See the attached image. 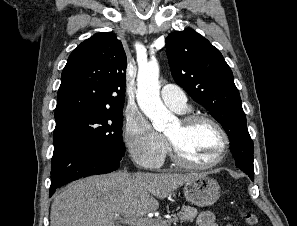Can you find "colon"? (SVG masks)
I'll return each instance as SVG.
<instances>
[{
	"instance_id": "obj_1",
	"label": "colon",
	"mask_w": 297,
	"mask_h": 226,
	"mask_svg": "<svg viewBox=\"0 0 297 226\" xmlns=\"http://www.w3.org/2000/svg\"><path fill=\"white\" fill-rule=\"evenodd\" d=\"M245 223L249 226H256L258 223V218L255 214L252 213H246L243 215Z\"/></svg>"
}]
</instances>
